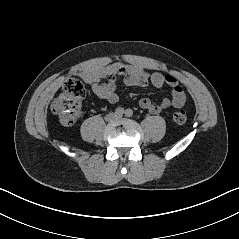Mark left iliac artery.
<instances>
[{
    "mask_svg": "<svg viewBox=\"0 0 239 239\" xmlns=\"http://www.w3.org/2000/svg\"><path fill=\"white\" fill-rule=\"evenodd\" d=\"M125 115H126L127 117H131V116L133 115V111H132L131 109H127V110L125 111Z\"/></svg>",
    "mask_w": 239,
    "mask_h": 239,
    "instance_id": "obj_1",
    "label": "left iliac artery"
}]
</instances>
